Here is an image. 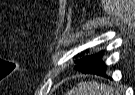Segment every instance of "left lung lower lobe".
<instances>
[{"mask_svg":"<svg viewBox=\"0 0 135 95\" xmlns=\"http://www.w3.org/2000/svg\"><path fill=\"white\" fill-rule=\"evenodd\" d=\"M103 53L99 52L97 54L90 55L86 61V64L79 71L83 73L97 74L100 76H106V66L105 63L101 62Z\"/></svg>","mask_w":135,"mask_h":95,"instance_id":"0a47b994","label":"left lung lower lobe"}]
</instances>
